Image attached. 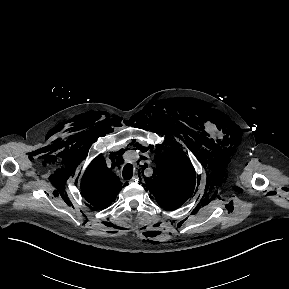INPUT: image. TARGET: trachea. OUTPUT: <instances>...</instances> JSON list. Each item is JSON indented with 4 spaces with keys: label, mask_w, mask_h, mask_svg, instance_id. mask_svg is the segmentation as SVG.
I'll return each instance as SVG.
<instances>
[{
    "label": "trachea",
    "mask_w": 289,
    "mask_h": 289,
    "mask_svg": "<svg viewBox=\"0 0 289 289\" xmlns=\"http://www.w3.org/2000/svg\"><path fill=\"white\" fill-rule=\"evenodd\" d=\"M122 176L124 179L129 180L133 176V166L131 164H127L124 166L122 171Z\"/></svg>",
    "instance_id": "3493384b"
}]
</instances>
